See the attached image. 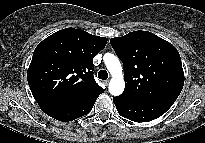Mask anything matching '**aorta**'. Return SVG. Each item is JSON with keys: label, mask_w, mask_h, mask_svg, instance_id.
<instances>
[{"label": "aorta", "mask_w": 205, "mask_h": 143, "mask_svg": "<svg viewBox=\"0 0 205 143\" xmlns=\"http://www.w3.org/2000/svg\"><path fill=\"white\" fill-rule=\"evenodd\" d=\"M103 59L108 71L112 76L108 87L109 92L113 96H119L122 94L125 88L121 63L118 57L111 53H106Z\"/></svg>", "instance_id": "762f6f07"}]
</instances>
